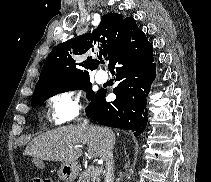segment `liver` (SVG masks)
<instances>
[{"instance_id":"liver-1","label":"liver","mask_w":211,"mask_h":182,"mask_svg":"<svg viewBox=\"0 0 211 182\" xmlns=\"http://www.w3.org/2000/svg\"><path fill=\"white\" fill-rule=\"evenodd\" d=\"M101 127L97 126H63L48 131L32 139L24 155H30L37 160L75 162L82 155L81 144H87L88 154L91 158L102 159L108 146L113 149L115 135L107 130L103 135Z\"/></svg>"}]
</instances>
